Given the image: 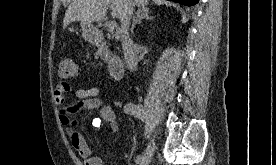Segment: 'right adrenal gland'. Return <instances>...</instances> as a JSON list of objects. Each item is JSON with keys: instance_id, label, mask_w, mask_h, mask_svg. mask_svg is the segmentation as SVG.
<instances>
[{"instance_id": "1", "label": "right adrenal gland", "mask_w": 276, "mask_h": 165, "mask_svg": "<svg viewBox=\"0 0 276 165\" xmlns=\"http://www.w3.org/2000/svg\"><path fill=\"white\" fill-rule=\"evenodd\" d=\"M149 9L147 7L138 8L133 16V23L131 27V32L134 30L137 24H141L143 19H153L154 17L149 15Z\"/></svg>"}]
</instances>
